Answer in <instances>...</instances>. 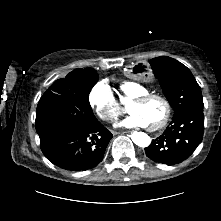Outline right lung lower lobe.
Masks as SVG:
<instances>
[{"label": "right lung lower lobe", "instance_id": "right-lung-lower-lobe-1", "mask_svg": "<svg viewBox=\"0 0 221 221\" xmlns=\"http://www.w3.org/2000/svg\"><path fill=\"white\" fill-rule=\"evenodd\" d=\"M112 137L110 131L97 120L90 126H73L41 141V150L58 167L85 171L102 161Z\"/></svg>", "mask_w": 221, "mask_h": 221}]
</instances>
